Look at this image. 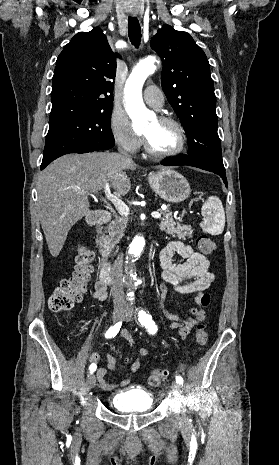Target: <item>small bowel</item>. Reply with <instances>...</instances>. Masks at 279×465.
Listing matches in <instances>:
<instances>
[{"label":"small bowel","instance_id":"c3829d8e","mask_svg":"<svg viewBox=\"0 0 279 465\" xmlns=\"http://www.w3.org/2000/svg\"><path fill=\"white\" fill-rule=\"evenodd\" d=\"M178 254L184 258L183 262L174 263L172 257ZM162 272L160 274L161 291L163 293L172 290L180 294H193L192 301L200 305V297L204 291L209 289L214 280V273L210 270V260L202 253L196 252L190 245L181 241H171L167 243L159 253ZM93 298L104 301L107 298V285L101 281H96L94 285ZM198 309L190 308L189 313L197 317ZM167 317L172 321L171 329H177L180 338L184 340L198 324V320L188 315H176L167 313ZM121 337L133 347L136 341L129 330H122ZM148 355V350L141 347L137 350L136 356L126 360V364L132 373L136 372L141 365V361ZM101 354L95 352L90 356L91 365L102 361ZM116 358L113 354H108L103 366L97 368L96 376L99 385L106 391H112L119 387H124L130 383L129 379H124L119 383H110L107 380V371L114 369Z\"/></svg>","mask_w":279,"mask_h":465}]
</instances>
